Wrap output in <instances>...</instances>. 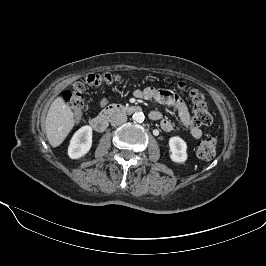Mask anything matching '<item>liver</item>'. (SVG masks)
<instances>
[{
    "label": "liver",
    "instance_id": "6515ba94",
    "mask_svg": "<svg viewBox=\"0 0 266 266\" xmlns=\"http://www.w3.org/2000/svg\"><path fill=\"white\" fill-rule=\"evenodd\" d=\"M75 124L74 113L65 104L62 97H57L49 107L46 116V135L52 147L59 146Z\"/></svg>",
    "mask_w": 266,
    "mask_h": 266
}]
</instances>
